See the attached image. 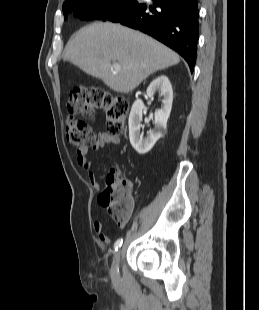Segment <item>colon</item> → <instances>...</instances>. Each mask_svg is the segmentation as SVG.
Returning <instances> with one entry per match:
<instances>
[{
  "mask_svg": "<svg viewBox=\"0 0 259 310\" xmlns=\"http://www.w3.org/2000/svg\"><path fill=\"white\" fill-rule=\"evenodd\" d=\"M67 110L65 126L68 140L80 148L96 142L95 134L80 116L91 117L99 111L103 112L108 134L117 136L124 130L129 103L126 98L98 86H79L70 92ZM106 183L97 202L108 217L121 222L128 216L132 206L131 189L127 182L117 180L114 170L107 175Z\"/></svg>",
  "mask_w": 259,
  "mask_h": 310,
  "instance_id": "5ec220e1",
  "label": "colon"
}]
</instances>
